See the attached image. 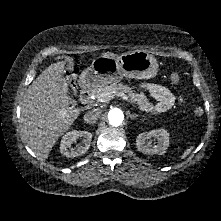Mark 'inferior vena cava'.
<instances>
[{"instance_id":"obj_1","label":"inferior vena cava","mask_w":221,"mask_h":221,"mask_svg":"<svg viewBox=\"0 0 221 221\" xmlns=\"http://www.w3.org/2000/svg\"><path fill=\"white\" fill-rule=\"evenodd\" d=\"M100 116V110L92 109L84 115V121L88 124L95 123Z\"/></svg>"}]
</instances>
